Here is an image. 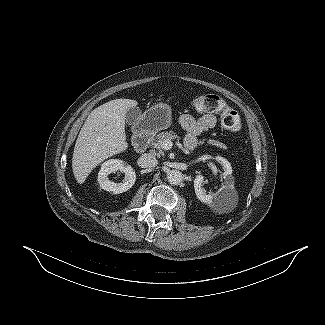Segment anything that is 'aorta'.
<instances>
[{
    "label": "aorta",
    "mask_w": 325,
    "mask_h": 325,
    "mask_svg": "<svg viewBox=\"0 0 325 325\" xmlns=\"http://www.w3.org/2000/svg\"><path fill=\"white\" fill-rule=\"evenodd\" d=\"M166 178L171 185H179L183 181V174L173 169L167 172Z\"/></svg>",
    "instance_id": "aorta-1"
}]
</instances>
